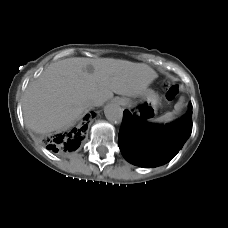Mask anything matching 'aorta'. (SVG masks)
I'll return each instance as SVG.
<instances>
[{
    "label": "aorta",
    "instance_id": "1",
    "mask_svg": "<svg viewBox=\"0 0 228 228\" xmlns=\"http://www.w3.org/2000/svg\"><path fill=\"white\" fill-rule=\"evenodd\" d=\"M104 114L108 121L120 124L123 119V111L117 103H109L104 108Z\"/></svg>",
    "mask_w": 228,
    "mask_h": 228
}]
</instances>
